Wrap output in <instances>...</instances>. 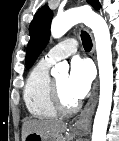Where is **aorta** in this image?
I'll return each mask as SVG.
<instances>
[{"label": "aorta", "mask_w": 119, "mask_h": 141, "mask_svg": "<svg viewBox=\"0 0 119 141\" xmlns=\"http://www.w3.org/2000/svg\"><path fill=\"white\" fill-rule=\"evenodd\" d=\"M84 23L94 33L100 77V95L94 119L92 141H106V131L112 105L113 66L109 28L106 21L87 8H74L56 16L51 24V35L62 37L71 27ZM68 64L59 63L51 71L53 76L67 72Z\"/></svg>", "instance_id": "aorta-1"}]
</instances>
